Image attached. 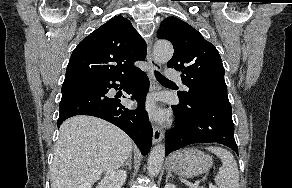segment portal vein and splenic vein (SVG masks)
Returning <instances> with one entry per match:
<instances>
[{"instance_id": "portal-vein-and-splenic-vein-1", "label": "portal vein and splenic vein", "mask_w": 292, "mask_h": 188, "mask_svg": "<svg viewBox=\"0 0 292 188\" xmlns=\"http://www.w3.org/2000/svg\"><path fill=\"white\" fill-rule=\"evenodd\" d=\"M198 183H199V181L196 182V183H194V184L191 186V188H197ZM209 188H216V187H215L214 185L210 184V185H209Z\"/></svg>"}]
</instances>
